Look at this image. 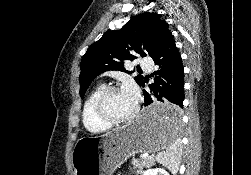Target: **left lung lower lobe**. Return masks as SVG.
I'll use <instances>...</instances> for the list:
<instances>
[{"label":"left lung lower lobe","instance_id":"left-lung-lower-lobe-1","mask_svg":"<svg viewBox=\"0 0 251 175\" xmlns=\"http://www.w3.org/2000/svg\"><path fill=\"white\" fill-rule=\"evenodd\" d=\"M152 58L159 69L154 72L157 75L154 77V83L149 85L151 90L149 92L143 90L144 105L157 102L163 104L145 112L142 121L147 125L178 124L183 117L181 109L184 100V69L171 32Z\"/></svg>","mask_w":251,"mask_h":175}]
</instances>
